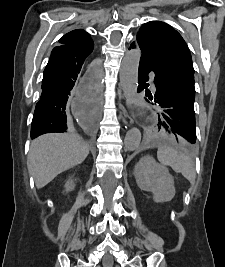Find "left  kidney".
Here are the masks:
<instances>
[{
	"label": "left kidney",
	"mask_w": 225,
	"mask_h": 267,
	"mask_svg": "<svg viewBox=\"0 0 225 267\" xmlns=\"http://www.w3.org/2000/svg\"><path fill=\"white\" fill-rule=\"evenodd\" d=\"M134 176L141 190L153 193L155 202H168L175 196L173 176L151 156L140 159L135 166Z\"/></svg>",
	"instance_id": "5707ae66"
}]
</instances>
